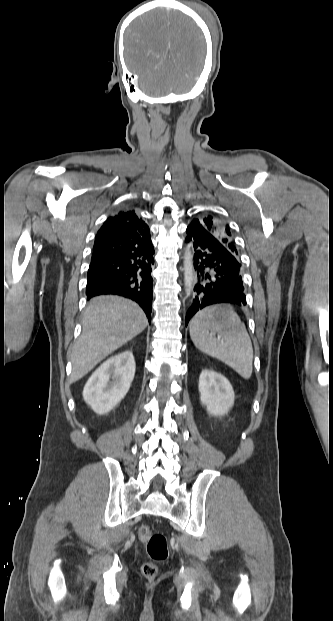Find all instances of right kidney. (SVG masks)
<instances>
[{"instance_id": "1", "label": "right kidney", "mask_w": 333, "mask_h": 621, "mask_svg": "<svg viewBox=\"0 0 333 621\" xmlns=\"http://www.w3.org/2000/svg\"><path fill=\"white\" fill-rule=\"evenodd\" d=\"M135 369L130 350L110 357L88 379L83 390L85 402L97 414L111 411L127 394Z\"/></svg>"}]
</instances>
